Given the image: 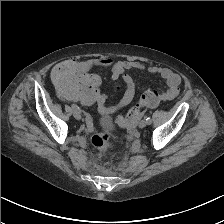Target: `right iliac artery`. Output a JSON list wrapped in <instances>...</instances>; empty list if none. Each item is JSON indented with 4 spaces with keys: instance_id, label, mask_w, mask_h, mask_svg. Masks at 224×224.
Returning a JSON list of instances; mask_svg holds the SVG:
<instances>
[{
    "instance_id": "obj_1",
    "label": "right iliac artery",
    "mask_w": 224,
    "mask_h": 224,
    "mask_svg": "<svg viewBox=\"0 0 224 224\" xmlns=\"http://www.w3.org/2000/svg\"><path fill=\"white\" fill-rule=\"evenodd\" d=\"M72 109L74 111H79L80 112V108L77 105H75V104L72 105Z\"/></svg>"
}]
</instances>
